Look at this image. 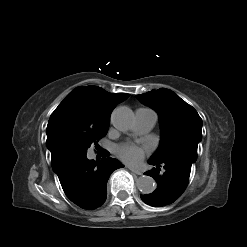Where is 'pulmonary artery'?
Instances as JSON below:
<instances>
[{"label": "pulmonary artery", "instance_id": "pulmonary-artery-1", "mask_svg": "<svg viewBox=\"0 0 247 247\" xmlns=\"http://www.w3.org/2000/svg\"><path fill=\"white\" fill-rule=\"evenodd\" d=\"M157 120L156 113L147 108H139L135 111L134 130L138 134L149 132L155 125Z\"/></svg>", "mask_w": 247, "mask_h": 247}]
</instances>
